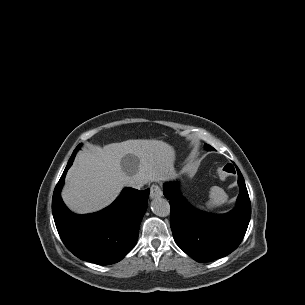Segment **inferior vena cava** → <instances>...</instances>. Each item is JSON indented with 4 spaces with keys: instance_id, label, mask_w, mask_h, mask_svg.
I'll list each match as a JSON object with an SVG mask.
<instances>
[{
    "instance_id": "obj_1",
    "label": "inferior vena cava",
    "mask_w": 305,
    "mask_h": 305,
    "mask_svg": "<svg viewBox=\"0 0 305 305\" xmlns=\"http://www.w3.org/2000/svg\"><path fill=\"white\" fill-rule=\"evenodd\" d=\"M130 186L140 189L143 186V184H141L139 182H133Z\"/></svg>"
}]
</instances>
